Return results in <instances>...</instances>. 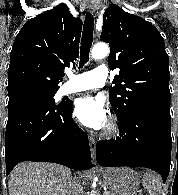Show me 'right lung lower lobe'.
Wrapping results in <instances>:
<instances>
[{"instance_id": "right-lung-lower-lobe-1", "label": "right lung lower lobe", "mask_w": 178, "mask_h": 195, "mask_svg": "<svg viewBox=\"0 0 178 195\" xmlns=\"http://www.w3.org/2000/svg\"><path fill=\"white\" fill-rule=\"evenodd\" d=\"M73 103L8 104L6 175L23 161L53 162L74 170L93 167L88 137L73 121Z\"/></svg>"}]
</instances>
